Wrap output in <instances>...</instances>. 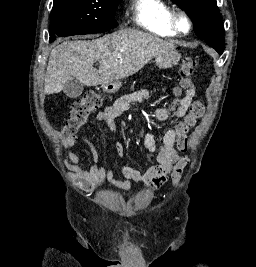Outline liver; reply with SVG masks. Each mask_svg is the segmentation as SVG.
Wrapping results in <instances>:
<instances>
[{
    "mask_svg": "<svg viewBox=\"0 0 256 267\" xmlns=\"http://www.w3.org/2000/svg\"><path fill=\"white\" fill-rule=\"evenodd\" d=\"M176 48L153 34L140 30H118L91 42H63L50 52L45 94H58L67 80H79L84 86H100L133 76L154 56ZM99 62V70L93 68Z\"/></svg>",
    "mask_w": 256,
    "mask_h": 267,
    "instance_id": "6515ba94",
    "label": "liver"
}]
</instances>
